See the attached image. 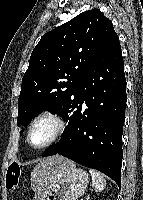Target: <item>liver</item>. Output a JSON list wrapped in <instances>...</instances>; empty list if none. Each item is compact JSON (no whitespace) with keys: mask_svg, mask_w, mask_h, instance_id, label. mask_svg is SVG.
Listing matches in <instances>:
<instances>
[{"mask_svg":"<svg viewBox=\"0 0 143 200\" xmlns=\"http://www.w3.org/2000/svg\"><path fill=\"white\" fill-rule=\"evenodd\" d=\"M68 164H73V162L62 156L54 155L42 159L34 167L31 172V186L35 193V200H41L50 177Z\"/></svg>","mask_w":143,"mask_h":200,"instance_id":"1","label":"liver"}]
</instances>
